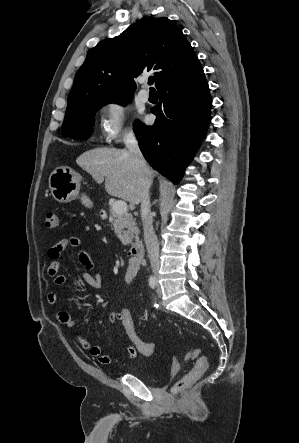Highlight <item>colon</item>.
<instances>
[{"instance_id":"obj_1","label":"colon","mask_w":299,"mask_h":443,"mask_svg":"<svg viewBox=\"0 0 299 443\" xmlns=\"http://www.w3.org/2000/svg\"><path fill=\"white\" fill-rule=\"evenodd\" d=\"M59 225V218L56 212L50 210L45 214V226L47 228H56ZM120 324L125 331L128 339L136 347L139 353L144 356H153L157 352V346L153 343L147 342L142 339L136 329L135 320L132 312L124 307L119 311ZM187 360H195L193 368L178 380L172 387L174 392H179L196 381L207 369V360L201 355L199 349H194L187 353ZM180 364L176 358L172 359L171 371L177 373L179 371Z\"/></svg>"}]
</instances>
